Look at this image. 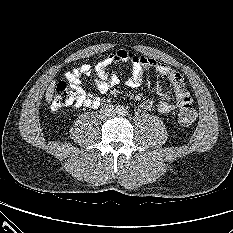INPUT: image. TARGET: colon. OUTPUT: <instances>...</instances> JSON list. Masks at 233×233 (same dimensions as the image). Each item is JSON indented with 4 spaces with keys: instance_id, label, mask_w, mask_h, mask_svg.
<instances>
[{
    "instance_id": "1",
    "label": "colon",
    "mask_w": 233,
    "mask_h": 233,
    "mask_svg": "<svg viewBox=\"0 0 233 233\" xmlns=\"http://www.w3.org/2000/svg\"><path fill=\"white\" fill-rule=\"evenodd\" d=\"M76 100L75 90L66 82H59L54 88L52 109L59 110L72 104ZM197 118V113L191 104H185L181 107L178 115L180 123L184 125L192 124Z\"/></svg>"
}]
</instances>
